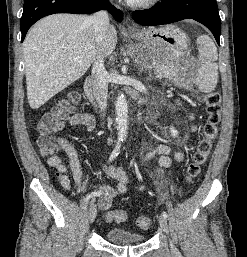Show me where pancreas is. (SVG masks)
I'll return each instance as SVG.
<instances>
[{
	"label": "pancreas",
	"instance_id": "pancreas-1",
	"mask_svg": "<svg viewBox=\"0 0 247 257\" xmlns=\"http://www.w3.org/2000/svg\"><path fill=\"white\" fill-rule=\"evenodd\" d=\"M153 68L154 74L158 79H162L163 77H169L174 71V67L169 63L154 64Z\"/></svg>",
	"mask_w": 247,
	"mask_h": 257
}]
</instances>
